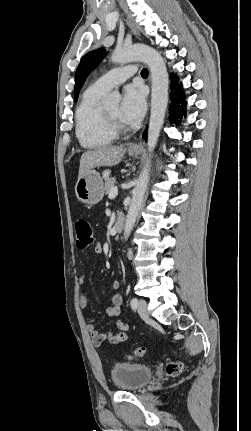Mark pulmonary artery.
I'll list each match as a JSON object with an SVG mask.
<instances>
[{
	"label": "pulmonary artery",
	"mask_w": 251,
	"mask_h": 431,
	"mask_svg": "<svg viewBox=\"0 0 251 431\" xmlns=\"http://www.w3.org/2000/svg\"><path fill=\"white\" fill-rule=\"evenodd\" d=\"M136 73L134 65H128L120 68L113 69L98 78L92 86L105 93L109 92L112 88L122 84L129 77Z\"/></svg>",
	"instance_id": "pulmonary-artery-1"
}]
</instances>
